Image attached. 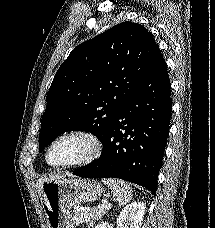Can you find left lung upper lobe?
Segmentation results:
<instances>
[{
    "label": "left lung upper lobe",
    "instance_id": "left-lung-upper-lobe-1",
    "mask_svg": "<svg viewBox=\"0 0 215 228\" xmlns=\"http://www.w3.org/2000/svg\"><path fill=\"white\" fill-rule=\"evenodd\" d=\"M160 53L142 25L123 22L88 40L59 67L39 135L40 152L66 131H89L103 142L127 98Z\"/></svg>",
    "mask_w": 215,
    "mask_h": 228
}]
</instances>
